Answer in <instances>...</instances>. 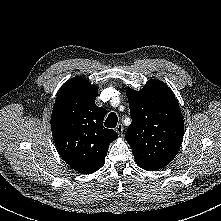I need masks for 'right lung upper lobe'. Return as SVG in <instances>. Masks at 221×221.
Returning a JSON list of instances; mask_svg holds the SVG:
<instances>
[{
	"instance_id": "right-lung-upper-lobe-1",
	"label": "right lung upper lobe",
	"mask_w": 221,
	"mask_h": 221,
	"mask_svg": "<svg viewBox=\"0 0 221 221\" xmlns=\"http://www.w3.org/2000/svg\"><path fill=\"white\" fill-rule=\"evenodd\" d=\"M97 88L77 76L59 90L51 115L52 135L62 159L75 171L91 174L105 164L117 133L103 127L105 110L95 104Z\"/></svg>"
}]
</instances>
